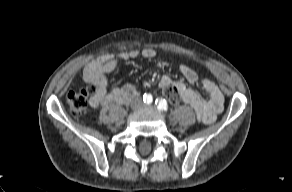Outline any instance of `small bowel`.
Returning a JSON list of instances; mask_svg holds the SVG:
<instances>
[{
    "instance_id": "1",
    "label": "small bowel",
    "mask_w": 292,
    "mask_h": 192,
    "mask_svg": "<svg viewBox=\"0 0 292 192\" xmlns=\"http://www.w3.org/2000/svg\"><path fill=\"white\" fill-rule=\"evenodd\" d=\"M141 54L146 59L155 57L156 52L152 48H144L141 52L130 50L118 56H111L103 61L89 64L84 70V78L90 84L97 86V92L91 96L92 107L108 104H127L136 94V88L132 84H125L121 87H114L108 90L107 76L112 73L118 60H129ZM180 72L187 83L172 81L168 76L161 79L162 89L171 88L178 97L186 104L190 105L198 120L203 124H210L215 121L217 115L222 111L224 97L217 84L210 79H202L201 84L207 93V98L201 96L194 87L200 82V78L195 70L182 65Z\"/></svg>"
}]
</instances>
